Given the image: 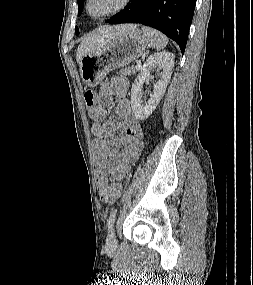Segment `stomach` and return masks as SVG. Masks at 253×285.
I'll list each match as a JSON object with an SVG mask.
<instances>
[{
    "mask_svg": "<svg viewBox=\"0 0 253 285\" xmlns=\"http://www.w3.org/2000/svg\"><path fill=\"white\" fill-rule=\"evenodd\" d=\"M147 44L148 39L143 32L134 28L84 55L79 66L84 85L97 86L110 71L127 66L138 59Z\"/></svg>",
    "mask_w": 253,
    "mask_h": 285,
    "instance_id": "obj_1",
    "label": "stomach"
}]
</instances>
